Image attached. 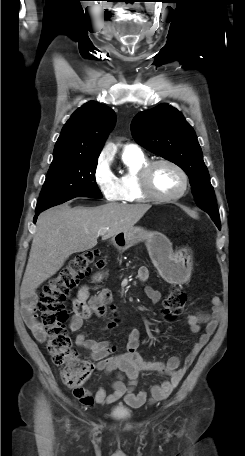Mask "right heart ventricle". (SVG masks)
Segmentation results:
<instances>
[{"label":"right heart ventricle","mask_w":245,"mask_h":456,"mask_svg":"<svg viewBox=\"0 0 245 456\" xmlns=\"http://www.w3.org/2000/svg\"><path fill=\"white\" fill-rule=\"evenodd\" d=\"M123 162L127 168L126 173L117 178L120 187V201L124 203L142 202L147 198L143 195L139 182L138 173L148 159L143 153H124Z\"/></svg>","instance_id":"right-heart-ventricle-1"}]
</instances>
